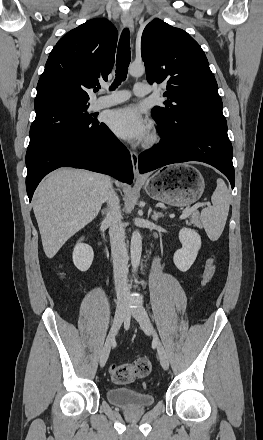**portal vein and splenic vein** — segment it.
Returning <instances> with one entry per match:
<instances>
[{
    "instance_id": "portal-vein-and-splenic-vein-1",
    "label": "portal vein and splenic vein",
    "mask_w": 263,
    "mask_h": 440,
    "mask_svg": "<svg viewBox=\"0 0 263 440\" xmlns=\"http://www.w3.org/2000/svg\"><path fill=\"white\" fill-rule=\"evenodd\" d=\"M210 206L209 203H196L195 205L187 208L180 216V219H185L188 217L193 211L197 210L199 207Z\"/></svg>"
}]
</instances>
